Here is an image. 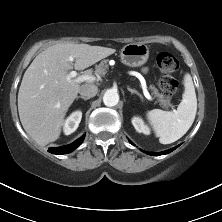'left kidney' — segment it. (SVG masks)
<instances>
[{"label":"left kidney","instance_id":"1","mask_svg":"<svg viewBox=\"0 0 222 222\" xmlns=\"http://www.w3.org/2000/svg\"><path fill=\"white\" fill-rule=\"evenodd\" d=\"M132 124L137 132L144 133L145 135L150 134V129L145 125L144 121L140 117L132 118Z\"/></svg>","mask_w":222,"mask_h":222}]
</instances>
